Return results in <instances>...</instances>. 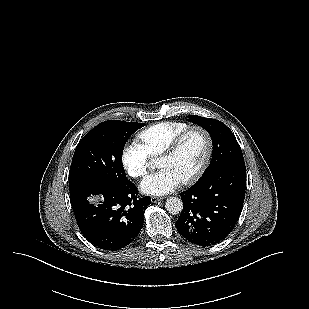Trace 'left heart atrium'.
<instances>
[{"mask_svg": "<svg viewBox=\"0 0 309 309\" xmlns=\"http://www.w3.org/2000/svg\"><path fill=\"white\" fill-rule=\"evenodd\" d=\"M183 180L171 169L164 168L148 176L141 183V191L145 194L162 196L175 191Z\"/></svg>", "mask_w": 309, "mask_h": 309, "instance_id": "1", "label": "left heart atrium"}]
</instances>
